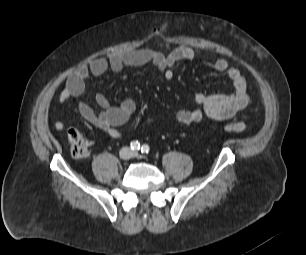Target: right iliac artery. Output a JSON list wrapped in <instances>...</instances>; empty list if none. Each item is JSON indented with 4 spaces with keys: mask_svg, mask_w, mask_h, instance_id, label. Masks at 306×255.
<instances>
[{
    "mask_svg": "<svg viewBox=\"0 0 306 255\" xmlns=\"http://www.w3.org/2000/svg\"><path fill=\"white\" fill-rule=\"evenodd\" d=\"M130 147L133 151H138L140 149V143L138 141H132Z\"/></svg>",
    "mask_w": 306,
    "mask_h": 255,
    "instance_id": "1",
    "label": "right iliac artery"
}]
</instances>
